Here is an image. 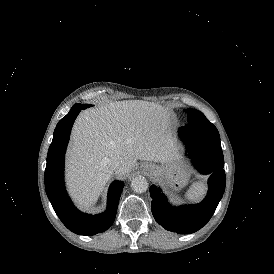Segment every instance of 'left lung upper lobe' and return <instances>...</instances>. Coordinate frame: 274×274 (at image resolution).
<instances>
[{
  "label": "left lung upper lobe",
  "mask_w": 274,
  "mask_h": 274,
  "mask_svg": "<svg viewBox=\"0 0 274 274\" xmlns=\"http://www.w3.org/2000/svg\"><path fill=\"white\" fill-rule=\"evenodd\" d=\"M188 116L187 126L199 128V129H213L216 130V127L204 116L203 113L196 109H185Z\"/></svg>",
  "instance_id": "1"
}]
</instances>
